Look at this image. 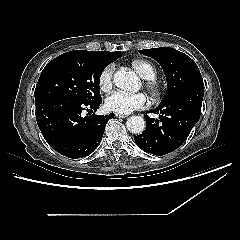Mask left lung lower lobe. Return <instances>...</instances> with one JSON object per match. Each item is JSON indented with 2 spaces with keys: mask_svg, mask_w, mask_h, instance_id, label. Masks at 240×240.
<instances>
[{
  "mask_svg": "<svg viewBox=\"0 0 240 240\" xmlns=\"http://www.w3.org/2000/svg\"><path fill=\"white\" fill-rule=\"evenodd\" d=\"M204 87L182 91L150 112L159 113V120L145 116V131L134 138L143 151L157 156L176 150L198 122Z\"/></svg>",
  "mask_w": 240,
  "mask_h": 240,
  "instance_id": "obj_1",
  "label": "left lung lower lobe"
}]
</instances>
